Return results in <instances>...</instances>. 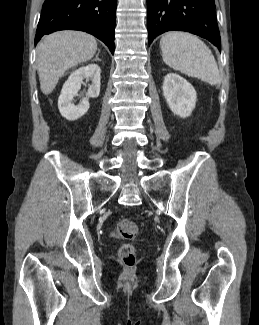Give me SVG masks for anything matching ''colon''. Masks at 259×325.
Instances as JSON below:
<instances>
[{"label": "colon", "instance_id": "5ec220e1", "mask_svg": "<svg viewBox=\"0 0 259 325\" xmlns=\"http://www.w3.org/2000/svg\"><path fill=\"white\" fill-rule=\"evenodd\" d=\"M137 233V224L127 219L119 221L115 228V236L125 240H133ZM118 256L124 265L131 266L135 263L136 249L132 244H123L118 250Z\"/></svg>", "mask_w": 259, "mask_h": 325}]
</instances>
